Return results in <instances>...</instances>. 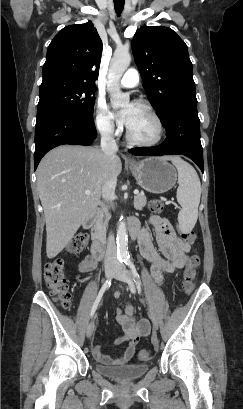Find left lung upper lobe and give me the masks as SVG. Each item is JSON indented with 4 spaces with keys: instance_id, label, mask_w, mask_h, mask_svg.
<instances>
[{
    "instance_id": "obj_1",
    "label": "left lung upper lobe",
    "mask_w": 243,
    "mask_h": 409,
    "mask_svg": "<svg viewBox=\"0 0 243 409\" xmlns=\"http://www.w3.org/2000/svg\"><path fill=\"white\" fill-rule=\"evenodd\" d=\"M132 52L143 87L163 126L181 108L197 104L188 49L172 29L141 27L132 39Z\"/></svg>"
}]
</instances>
